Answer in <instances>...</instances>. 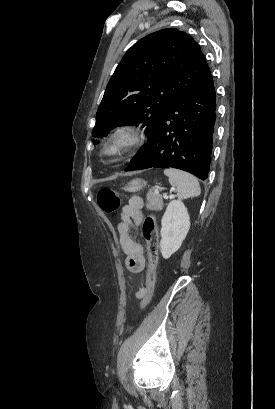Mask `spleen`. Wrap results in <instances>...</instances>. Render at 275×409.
<instances>
[{"label":"spleen","mask_w":275,"mask_h":409,"mask_svg":"<svg viewBox=\"0 0 275 409\" xmlns=\"http://www.w3.org/2000/svg\"><path fill=\"white\" fill-rule=\"evenodd\" d=\"M164 174L169 176V182L172 186H177L179 198H189V196H198L200 194V184L193 174L178 170V168H165Z\"/></svg>","instance_id":"obj_1"}]
</instances>
